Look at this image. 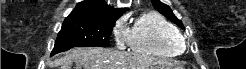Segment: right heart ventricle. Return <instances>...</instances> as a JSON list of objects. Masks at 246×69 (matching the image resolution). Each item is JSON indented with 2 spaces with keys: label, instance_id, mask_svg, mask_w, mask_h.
Wrapping results in <instances>:
<instances>
[{
  "label": "right heart ventricle",
  "instance_id": "1",
  "mask_svg": "<svg viewBox=\"0 0 246 69\" xmlns=\"http://www.w3.org/2000/svg\"><path fill=\"white\" fill-rule=\"evenodd\" d=\"M133 51L171 57L182 49L179 31L168 19L156 11H146L135 21L128 36Z\"/></svg>",
  "mask_w": 246,
  "mask_h": 69
}]
</instances>
